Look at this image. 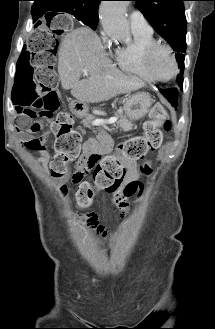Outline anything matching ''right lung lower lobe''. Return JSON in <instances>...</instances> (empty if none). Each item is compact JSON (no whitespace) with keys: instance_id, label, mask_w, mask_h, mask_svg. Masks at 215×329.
I'll return each instance as SVG.
<instances>
[{"instance_id":"1","label":"right lung lower lobe","mask_w":215,"mask_h":329,"mask_svg":"<svg viewBox=\"0 0 215 329\" xmlns=\"http://www.w3.org/2000/svg\"><path fill=\"white\" fill-rule=\"evenodd\" d=\"M36 9V6L32 7V11Z\"/></svg>"}]
</instances>
